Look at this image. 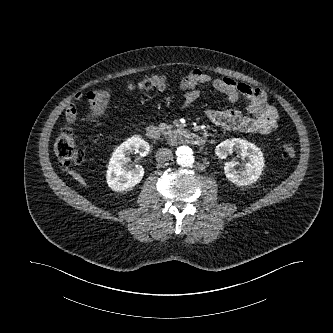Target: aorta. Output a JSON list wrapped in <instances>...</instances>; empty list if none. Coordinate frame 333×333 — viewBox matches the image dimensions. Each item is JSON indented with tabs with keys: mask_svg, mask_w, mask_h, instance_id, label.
<instances>
[{
	"mask_svg": "<svg viewBox=\"0 0 333 333\" xmlns=\"http://www.w3.org/2000/svg\"><path fill=\"white\" fill-rule=\"evenodd\" d=\"M176 156L181 166L189 167L194 163L193 151L188 146H180L176 151Z\"/></svg>",
	"mask_w": 333,
	"mask_h": 333,
	"instance_id": "obj_1",
	"label": "aorta"
}]
</instances>
